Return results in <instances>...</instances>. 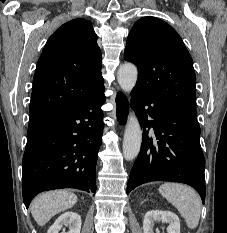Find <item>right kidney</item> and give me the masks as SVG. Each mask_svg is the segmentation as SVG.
Here are the masks:
<instances>
[{"mask_svg":"<svg viewBox=\"0 0 227 233\" xmlns=\"http://www.w3.org/2000/svg\"><path fill=\"white\" fill-rule=\"evenodd\" d=\"M81 217L75 212H65L60 215L54 224L49 228L47 233H59L64 227H68V231H62L61 233H80L81 230Z\"/></svg>","mask_w":227,"mask_h":233,"instance_id":"1","label":"right kidney"}]
</instances>
